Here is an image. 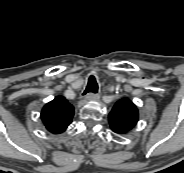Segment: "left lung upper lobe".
I'll list each match as a JSON object with an SVG mask.
<instances>
[{"instance_id": "5c2ea615", "label": "left lung upper lobe", "mask_w": 184, "mask_h": 173, "mask_svg": "<svg viewBox=\"0 0 184 173\" xmlns=\"http://www.w3.org/2000/svg\"><path fill=\"white\" fill-rule=\"evenodd\" d=\"M138 110L127 98L119 100L109 114L111 129L117 134H128L138 122Z\"/></svg>"}]
</instances>
